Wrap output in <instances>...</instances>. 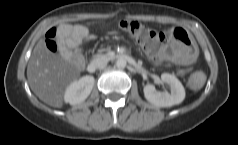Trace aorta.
I'll use <instances>...</instances> for the list:
<instances>
[{
    "instance_id": "762f6f07",
    "label": "aorta",
    "mask_w": 238,
    "mask_h": 145,
    "mask_svg": "<svg viewBox=\"0 0 238 145\" xmlns=\"http://www.w3.org/2000/svg\"><path fill=\"white\" fill-rule=\"evenodd\" d=\"M115 65L117 68H125L127 65L126 59L123 57H120L116 60Z\"/></svg>"
}]
</instances>
